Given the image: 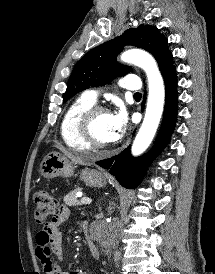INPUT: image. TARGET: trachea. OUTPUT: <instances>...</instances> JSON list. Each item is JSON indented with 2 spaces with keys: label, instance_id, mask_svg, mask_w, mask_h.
<instances>
[{
  "label": "trachea",
  "instance_id": "obj_1",
  "mask_svg": "<svg viewBox=\"0 0 215 274\" xmlns=\"http://www.w3.org/2000/svg\"><path fill=\"white\" fill-rule=\"evenodd\" d=\"M141 96H142V94L139 93V92H137V93L134 94V97H136V98H140Z\"/></svg>",
  "mask_w": 215,
  "mask_h": 274
}]
</instances>
